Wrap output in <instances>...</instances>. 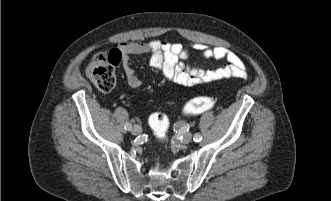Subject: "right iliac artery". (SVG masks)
I'll list each match as a JSON object with an SVG mask.
<instances>
[{"label":"right iliac artery","instance_id":"obj_1","mask_svg":"<svg viewBox=\"0 0 331 201\" xmlns=\"http://www.w3.org/2000/svg\"><path fill=\"white\" fill-rule=\"evenodd\" d=\"M125 129L130 131L132 129V124L127 122L126 125H125Z\"/></svg>","mask_w":331,"mask_h":201}]
</instances>
